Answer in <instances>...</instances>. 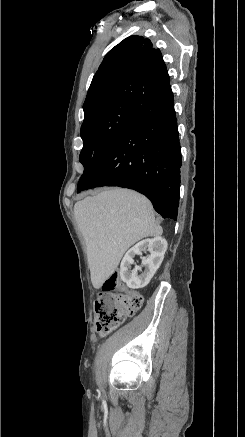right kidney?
Returning <instances> with one entry per match:
<instances>
[{
  "label": "right kidney",
  "instance_id": "right-kidney-1",
  "mask_svg": "<svg viewBox=\"0 0 245 437\" xmlns=\"http://www.w3.org/2000/svg\"><path fill=\"white\" fill-rule=\"evenodd\" d=\"M167 245V241L159 236L142 240L130 248L120 265L121 280L131 289L145 287L160 267L167 250ZM146 251L149 254L146 257H142V267H145V270L138 275V271H142V267L135 265L134 269L131 270V265L134 264L133 258L135 255H142V252Z\"/></svg>",
  "mask_w": 245,
  "mask_h": 437
}]
</instances>
